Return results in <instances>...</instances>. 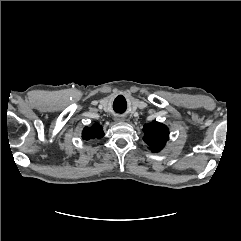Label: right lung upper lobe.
I'll use <instances>...</instances> for the list:
<instances>
[{"label":"right lung upper lobe","mask_w":241,"mask_h":241,"mask_svg":"<svg viewBox=\"0 0 241 241\" xmlns=\"http://www.w3.org/2000/svg\"><path fill=\"white\" fill-rule=\"evenodd\" d=\"M103 135V129L98 123H95L92 127H85L82 132V138L85 140L101 138Z\"/></svg>","instance_id":"1"}]
</instances>
